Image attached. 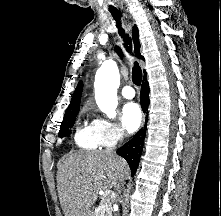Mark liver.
Wrapping results in <instances>:
<instances>
[{
    "instance_id": "1",
    "label": "liver",
    "mask_w": 221,
    "mask_h": 216,
    "mask_svg": "<svg viewBox=\"0 0 221 216\" xmlns=\"http://www.w3.org/2000/svg\"><path fill=\"white\" fill-rule=\"evenodd\" d=\"M129 175L125 159L106 151H80L58 165L57 189L64 216H92L98 191L118 188Z\"/></svg>"
}]
</instances>
